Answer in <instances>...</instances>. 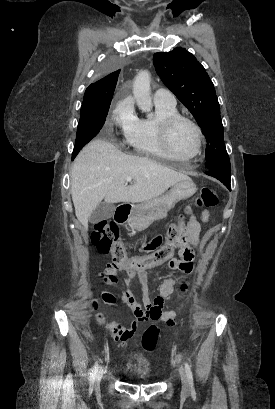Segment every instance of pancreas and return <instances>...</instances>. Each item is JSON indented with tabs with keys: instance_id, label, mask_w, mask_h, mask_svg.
I'll return each instance as SVG.
<instances>
[{
	"instance_id": "pancreas-1",
	"label": "pancreas",
	"mask_w": 275,
	"mask_h": 409,
	"mask_svg": "<svg viewBox=\"0 0 275 409\" xmlns=\"http://www.w3.org/2000/svg\"><path fill=\"white\" fill-rule=\"evenodd\" d=\"M167 213L165 209H157L155 211L154 215H150V217H146V219H139V221H129L130 225H133V227H148V225H151L153 221H158V219H164L166 217Z\"/></svg>"
}]
</instances>
